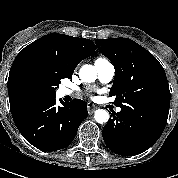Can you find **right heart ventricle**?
I'll return each instance as SVG.
<instances>
[{"mask_svg":"<svg viewBox=\"0 0 178 178\" xmlns=\"http://www.w3.org/2000/svg\"><path fill=\"white\" fill-rule=\"evenodd\" d=\"M101 61H105V59L104 58H98L97 60H96V62H101ZM95 62V63H96Z\"/></svg>","mask_w":178,"mask_h":178,"instance_id":"obj_1","label":"right heart ventricle"}]
</instances>
